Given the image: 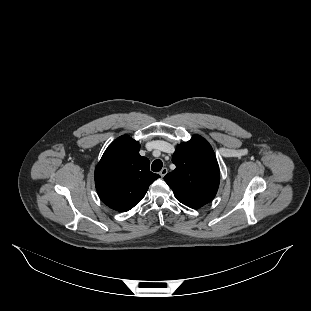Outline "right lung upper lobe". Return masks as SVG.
I'll list each match as a JSON object with an SVG mask.
<instances>
[{
	"label": "right lung upper lobe",
	"mask_w": 311,
	"mask_h": 311,
	"mask_svg": "<svg viewBox=\"0 0 311 311\" xmlns=\"http://www.w3.org/2000/svg\"><path fill=\"white\" fill-rule=\"evenodd\" d=\"M140 144L127 135L114 140L95 169V185L110 208L126 212L145 196L160 176L149 170L148 158L139 154Z\"/></svg>",
	"instance_id": "right-lung-upper-lobe-1"
}]
</instances>
